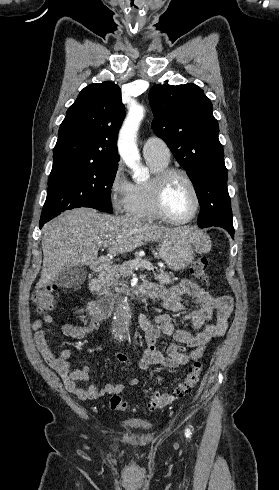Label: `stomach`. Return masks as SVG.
Returning <instances> with one entry per match:
<instances>
[{
    "label": "stomach",
    "instance_id": "0dacf381",
    "mask_svg": "<svg viewBox=\"0 0 279 490\" xmlns=\"http://www.w3.org/2000/svg\"><path fill=\"white\" fill-rule=\"evenodd\" d=\"M158 256L170 270L181 272L192 264L195 250L192 248L191 240H185L181 236H172L168 240H162Z\"/></svg>",
    "mask_w": 279,
    "mask_h": 490
}]
</instances>
